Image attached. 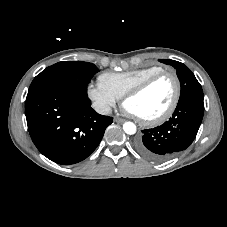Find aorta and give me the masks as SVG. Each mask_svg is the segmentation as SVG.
I'll use <instances>...</instances> for the list:
<instances>
[{"label": "aorta", "mask_w": 227, "mask_h": 227, "mask_svg": "<svg viewBox=\"0 0 227 227\" xmlns=\"http://www.w3.org/2000/svg\"><path fill=\"white\" fill-rule=\"evenodd\" d=\"M123 130L128 135H133L136 133V125L133 122H125L123 124Z\"/></svg>", "instance_id": "obj_1"}]
</instances>
